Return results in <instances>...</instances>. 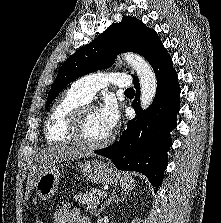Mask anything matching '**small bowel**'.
Listing matches in <instances>:
<instances>
[{
  "label": "small bowel",
  "instance_id": "obj_1",
  "mask_svg": "<svg viewBox=\"0 0 221 223\" xmlns=\"http://www.w3.org/2000/svg\"><path fill=\"white\" fill-rule=\"evenodd\" d=\"M54 223H90L78 209H71L69 204L60 203L54 213Z\"/></svg>",
  "mask_w": 221,
  "mask_h": 223
}]
</instances>
